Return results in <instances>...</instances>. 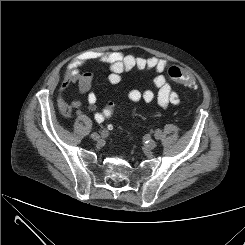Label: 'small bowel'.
<instances>
[{
	"label": "small bowel",
	"mask_w": 245,
	"mask_h": 245,
	"mask_svg": "<svg viewBox=\"0 0 245 245\" xmlns=\"http://www.w3.org/2000/svg\"><path fill=\"white\" fill-rule=\"evenodd\" d=\"M91 62L108 64L110 70L108 80L113 85L120 83L122 81V75L131 70L154 71L156 75L152 83L158 90L157 94L150 89H131L128 93V98L132 103L142 101L146 104H151L156 101L161 108H167L170 105H177L180 102L179 95L173 90L166 76L163 74L169 65L167 60L158 57H135L133 55H124L117 51H89L72 60L63 75V82L58 97V105L62 111L66 107L63 95L71 84H76L80 92L87 95L88 108L95 110L97 96L94 92L90 91L94 78L93 74L91 72H81V68ZM72 105L77 109L84 107L83 102L80 100L73 101ZM104 118V112L94 113V119L97 122H103Z\"/></svg>",
	"instance_id": "small-bowel-1"
}]
</instances>
